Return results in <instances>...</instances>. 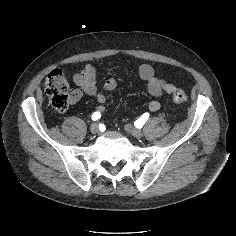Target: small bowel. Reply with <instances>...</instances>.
Here are the masks:
<instances>
[{
  "mask_svg": "<svg viewBox=\"0 0 236 236\" xmlns=\"http://www.w3.org/2000/svg\"><path fill=\"white\" fill-rule=\"evenodd\" d=\"M139 77L145 81L148 92L155 98L161 97L164 94H171L175 90L173 84L168 82L163 77L157 76L154 69L148 64H139L136 67ZM98 72L95 66L88 64L80 72L74 74L73 82L78 86L72 92V102H77L83 94H86L96 100L100 105L99 111L103 110L105 102V95L97 89ZM116 87V80L110 77L105 83L104 90L112 91ZM150 111H157L160 109V103L157 100H151L148 103Z\"/></svg>",
  "mask_w": 236,
  "mask_h": 236,
  "instance_id": "c3829d8e",
  "label": "small bowel"
}]
</instances>
